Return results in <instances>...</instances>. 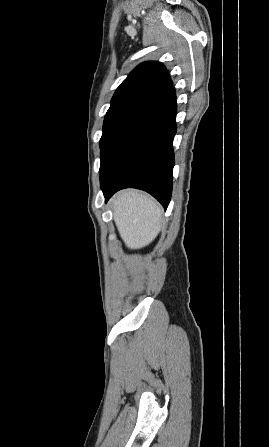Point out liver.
Instances as JSON below:
<instances>
[{"mask_svg": "<svg viewBox=\"0 0 269 447\" xmlns=\"http://www.w3.org/2000/svg\"><path fill=\"white\" fill-rule=\"evenodd\" d=\"M113 216L127 247L138 249L148 245L158 235L162 208L146 194L124 190L113 200Z\"/></svg>", "mask_w": 269, "mask_h": 447, "instance_id": "6515ba94", "label": "liver"}]
</instances>
